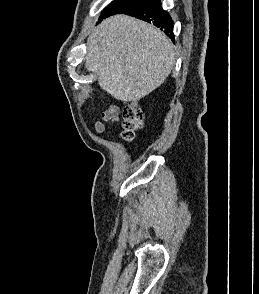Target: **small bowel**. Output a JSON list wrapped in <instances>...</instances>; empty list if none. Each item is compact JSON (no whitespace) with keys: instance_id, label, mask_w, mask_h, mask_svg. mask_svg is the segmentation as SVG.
I'll use <instances>...</instances> for the list:
<instances>
[{"instance_id":"small-bowel-1","label":"small bowel","mask_w":259,"mask_h":294,"mask_svg":"<svg viewBox=\"0 0 259 294\" xmlns=\"http://www.w3.org/2000/svg\"><path fill=\"white\" fill-rule=\"evenodd\" d=\"M120 118V110L117 106H109L101 115V118L94 124L95 131L98 134H103L106 131L108 122L118 121Z\"/></svg>"}]
</instances>
